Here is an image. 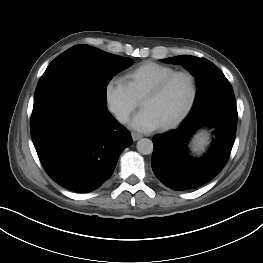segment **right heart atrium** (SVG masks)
I'll return each instance as SVG.
<instances>
[{
	"mask_svg": "<svg viewBox=\"0 0 263 263\" xmlns=\"http://www.w3.org/2000/svg\"><path fill=\"white\" fill-rule=\"evenodd\" d=\"M103 94L108 111L120 123L126 122L139 104L124 81L118 77H112L106 82Z\"/></svg>",
	"mask_w": 263,
	"mask_h": 263,
	"instance_id": "1",
	"label": "right heart atrium"
}]
</instances>
